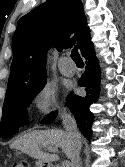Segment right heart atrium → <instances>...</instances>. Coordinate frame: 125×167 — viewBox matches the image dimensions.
<instances>
[{
    "label": "right heart atrium",
    "mask_w": 125,
    "mask_h": 167,
    "mask_svg": "<svg viewBox=\"0 0 125 167\" xmlns=\"http://www.w3.org/2000/svg\"><path fill=\"white\" fill-rule=\"evenodd\" d=\"M32 105L36 114L41 118L65 112L58 90L51 82H46L36 92L32 99Z\"/></svg>",
    "instance_id": "d8ad5b80"
}]
</instances>
